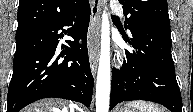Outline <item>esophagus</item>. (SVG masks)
Returning <instances> with one entry per match:
<instances>
[{
	"label": "esophagus",
	"instance_id": "obj_1",
	"mask_svg": "<svg viewBox=\"0 0 193 112\" xmlns=\"http://www.w3.org/2000/svg\"><path fill=\"white\" fill-rule=\"evenodd\" d=\"M100 11H101V1L92 0L91 1V21L89 27V60L90 67L93 76H95L98 65V32L100 27Z\"/></svg>",
	"mask_w": 193,
	"mask_h": 112
}]
</instances>
